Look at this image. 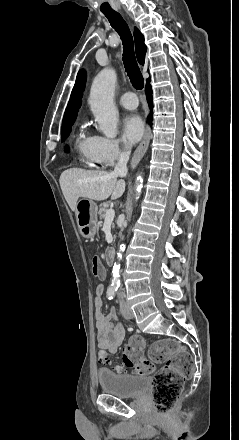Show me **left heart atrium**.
I'll use <instances>...</instances> for the list:
<instances>
[{"label":"left heart atrium","instance_id":"obj_1","mask_svg":"<svg viewBox=\"0 0 239 440\" xmlns=\"http://www.w3.org/2000/svg\"><path fill=\"white\" fill-rule=\"evenodd\" d=\"M119 128L122 132L123 138L129 143L138 141L143 133L142 120L134 113L125 115L119 123Z\"/></svg>","mask_w":239,"mask_h":440}]
</instances>
